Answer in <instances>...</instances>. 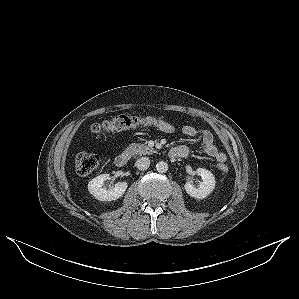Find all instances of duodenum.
I'll return each mask as SVG.
<instances>
[{
	"mask_svg": "<svg viewBox=\"0 0 299 299\" xmlns=\"http://www.w3.org/2000/svg\"><path fill=\"white\" fill-rule=\"evenodd\" d=\"M188 149L186 147H174L170 150V156L172 157H185L188 155ZM130 156L128 153L119 154L115 158V166L118 168H124L129 162Z\"/></svg>",
	"mask_w": 299,
	"mask_h": 299,
	"instance_id": "duodenum-1",
	"label": "duodenum"
}]
</instances>
